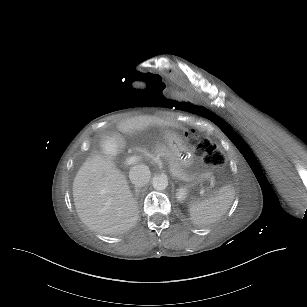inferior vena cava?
Wrapping results in <instances>:
<instances>
[{
  "label": "inferior vena cava",
  "instance_id": "1",
  "mask_svg": "<svg viewBox=\"0 0 307 307\" xmlns=\"http://www.w3.org/2000/svg\"><path fill=\"white\" fill-rule=\"evenodd\" d=\"M151 172L145 165H136L129 172V179L135 187H144L150 181Z\"/></svg>",
  "mask_w": 307,
  "mask_h": 307
}]
</instances>
